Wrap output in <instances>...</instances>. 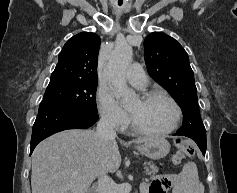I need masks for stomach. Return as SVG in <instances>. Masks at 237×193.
<instances>
[{"label": "stomach", "instance_id": "1", "mask_svg": "<svg viewBox=\"0 0 237 193\" xmlns=\"http://www.w3.org/2000/svg\"><path fill=\"white\" fill-rule=\"evenodd\" d=\"M170 147L169 142L165 138L155 137L150 138L143 144L137 145L135 149L152 160H159L167 156Z\"/></svg>", "mask_w": 237, "mask_h": 193}]
</instances>
